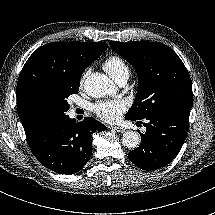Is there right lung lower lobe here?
<instances>
[{"label": "right lung lower lobe", "mask_w": 215, "mask_h": 215, "mask_svg": "<svg viewBox=\"0 0 215 215\" xmlns=\"http://www.w3.org/2000/svg\"><path fill=\"white\" fill-rule=\"evenodd\" d=\"M106 127L91 117L76 123L67 115L42 129L29 147L37 160L59 174L81 170L92 153V134Z\"/></svg>", "instance_id": "obj_1"}]
</instances>
